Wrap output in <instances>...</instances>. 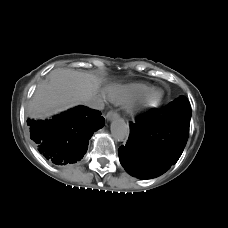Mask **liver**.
<instances>
[{
  "label": "liver",
  "instance_id": "liver-1",
  "mask_svg": "<svg viewBox=\"0 0 228 228\" xmlns=\"http://www.w3.org/2000/svg\"><path fill=\"white\" fill-rule=\"evenodd\" d=\"M101 79L74 69L58 68L38 85L29 103L31 117L49 116L69 107L84 104L99 92Z\"/></svg>",
  "mask_w": 228,
  "mask_h": 228
}]
</instances>
